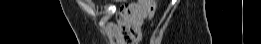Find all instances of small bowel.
I'll list each match as a JSON object with an SVG mask.
<instances>
[{
	"label": "small bowel",
	"mask_w": 261,
	"mask_h": 44,
	"mask_svg": "<svg viewBox=\"0 0 261 44\" xmlns=\"http://www.w3.org/2000/svg\"><path fill=\"white\" fill-rule=\"evenodd\" d=\"M146 17V6L140 1L123 7L119 11V20L116 24L119 39L126 44L137 43L140 39L141 27Z\"/></svg>",
	"instance_id": "1"
}]
</instances>
